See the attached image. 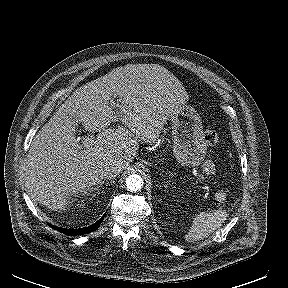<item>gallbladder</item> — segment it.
<instances>
[{"instance_id": "bac80fb5", "label": "gallbladder", "mask_w": 288, "mask_h": 288, "mask_svg": "<svg viewBox=\"0 0 288 288\" xmlns=\"http://www.w3.org/2000/svg\"><path fill=\"white\" fill-rule=\"evenodd\" d=\"M71 120L74 122V124H77L79 122V119L75 116H70Z\"/></svg>"}]
</instances>
